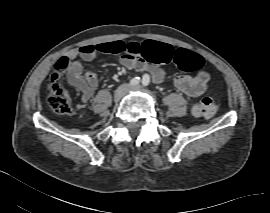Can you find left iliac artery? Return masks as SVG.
I'll return each mask as SVG.
<instances>
[{
	"instance_id": "44dca946",
	"label": "left iliac artery",
	"mask_w": 270,
	"mask_h": 213,
	"mask_svg": "<svg viewBox=\"0 0 270 213\" xmlns=\"http://www.w3.org/2000/svg\"><path fill=\"white\" fill-rule=\"evenodd\" d=\"M150 83V76L148 74H144L142 77V84L144 86H148Z\"/></svg>"
}]
</instances>
